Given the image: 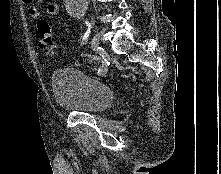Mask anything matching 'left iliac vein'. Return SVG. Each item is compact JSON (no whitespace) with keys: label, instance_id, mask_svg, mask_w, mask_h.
Here are the masks:
<instances>
[{"label":"left iliac vein","instance_id":"left-iliac-vein-1","mask_svg":"<svg viewBox=\"0 0 221 174\" xmlns=\"http://www.w3.org/2000/svg\"><path fill=\"white\" fill-rule=\"evenodd\" d=\"M90 44H91L92 50H93L94 52H97L98 49L100 48L98 36H94V37L91 39Z\"/></svg>","mask_w":221,"mask_h":174}]
</instances>
